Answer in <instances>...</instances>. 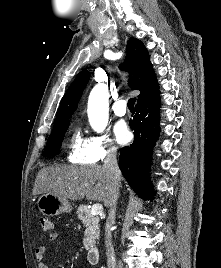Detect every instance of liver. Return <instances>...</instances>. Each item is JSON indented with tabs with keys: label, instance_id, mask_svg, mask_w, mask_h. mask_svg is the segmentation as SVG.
Wrapping results in <instances>:
<instances>
[{
	"label": "liver",
	"instance_id": "1",
	"mask_svg": "<svg viewBox=\"0 0 221 268\" xmlns=\"http://www.w3.org/2000/svg\"><path fill=\"white\" fill-rule=\"evenodd\" d=\"M111 177L102 165L84 167L48 166L42 168L34 183L33 195L51 193L64 199L102 201L112 198Z\"/></svg>",
	"mask_w": 221,
	"mask_h": 268
}]
</instances>
